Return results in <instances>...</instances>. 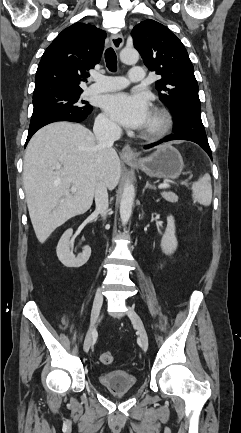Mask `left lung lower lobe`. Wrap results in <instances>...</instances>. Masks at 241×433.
Here are the masks:
<instances>
[{"label": "left lung lower lobe", "instance_id": "1", "mask_svg": "<svg viewBox=\"0 0 241 433\" xmlns=\"http://www.w3.org/2000/svg\"><path fill=\"white\" fill-rule=\"evenodd\" d=\"M171 140H188V141L195 142L198 145H200L208 153V155L212 159L211 149H210L209 145H204V144H202L200 142L194 141V140L186 138V137L178 136V135H170V136L166 137L165 139H163V140H161L159 142H156V143H153V144L145 146V148H151V147L156 146V145H158V144H160L162 142H167V141H171Z\"/></svg>", "mask_w": 241, "mask_h": 433}]
</instances>
